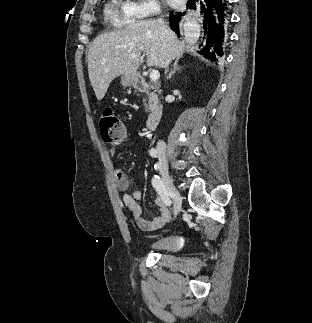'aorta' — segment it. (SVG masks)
<instances>
[{"instance_id": "aorta-1", "label": "aorta", "mask_w": 312, "mask_h": 323, "mask_svg": "<svg viewBox=\"0 0 312 323\" xmlns=\"http://www.w3.org/2000/svg\"><path fill=\"white\" fill-rule=\"evenodd\" d=\"M185 36H186V40L187 42H197L199 36H197V34H192V32H190V30H185Z\"/></svg>"}]
</instances>
